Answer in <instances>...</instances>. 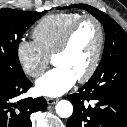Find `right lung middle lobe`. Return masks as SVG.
I'll use <instances>...</instances> for the list:
<instances>
[{
  "mask_svg": "<svg viewBox=\"0 0 127 127\" xmlns=\"http://www.w3.org/2000/svg\"><path fill=\"white\" fill-rule=\"evenodd\" d=\"M44 13L0 9V72L14 78L25 77L18 58V45L26 30Z\"/></svg>",
  "mask_w": 127,
  "mask_h": 127,
  "instance_id": "right-lung-middle-lobe-1",
  "label": "right lung middle lobe"
}]
</instances>
